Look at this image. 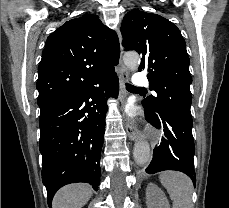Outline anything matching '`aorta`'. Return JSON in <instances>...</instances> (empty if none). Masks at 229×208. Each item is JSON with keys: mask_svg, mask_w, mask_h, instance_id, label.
<instances>
[{"mask_svg": "<svg viewBox=\"0 0 229 208\" xmlns=\"http://www.w3.org/2000/svg\"><path fill=\"white\" fill-rule=\"evenodd\" d=\"M123 60L126 67L131 71H136L140 65V57L137 53H127L124 55ZM133 155L138 166H146L150 160L149 144L142 138L137 139Z\"/></svg>", "mask_w": 229, "mask_h": 208, "instance_id": "obj_1", "label": "aorta"}]
</instances>
